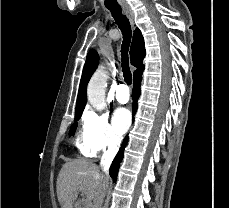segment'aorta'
Returning <instances> with one entry per match:
<instances>
[{"label":"aorta","mask_w":229,"mask_h":208,"mask_svg":"<svg viewBox=\"0 0 229 208\" xmlns=\"http://www.w3.org/2000/svg\"><path fill=\"white\" fill-rule=\"evenodd\" d=\"M108 75L104 66H100L93 74L87 87V99L96 110L106 107L105 93Z\"/></svg>","instance_id":"obj_1"}]
</instances>
